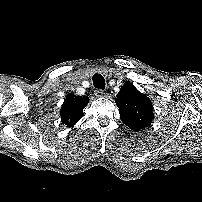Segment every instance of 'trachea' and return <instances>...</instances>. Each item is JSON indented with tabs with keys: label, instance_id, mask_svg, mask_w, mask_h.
I'll return each mask as SVG.
<instances>
[{
	"label": "trachea",
	"instance_id": "trachea-1",
	"mask_svg": "<svg viewBox=\"0 0 202 202\" xmlns=\"http://www.w3.org/2000/svg\"><path fill=\"white\" fill-rule=\"evenodd\" d=\"M93 85L95 88H98V89H101V90H104L105 89V79L104 77L101 75V74H94L93 77Z\"/></svg>",
	"mask_w": 202,
	"mask_h": 202
}]
</instances>
